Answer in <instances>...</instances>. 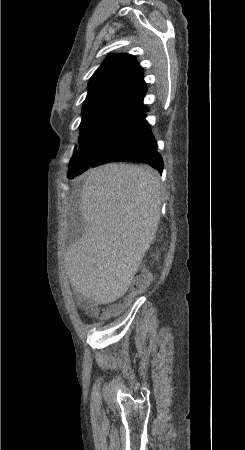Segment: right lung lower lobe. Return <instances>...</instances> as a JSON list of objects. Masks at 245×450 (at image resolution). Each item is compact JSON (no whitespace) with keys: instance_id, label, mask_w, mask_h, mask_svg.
I'll use <instances>...</instances> for the list:
<instances>
[{"instance_id":"1","label":"right lung lower lobe","mask_w":245,"mask_h":450,"mask_svg":"<svg viewBox=\"0 0 245 450\" xmlns=\"http://www.w3.org/2000/svg\"><path fill=\"white\" fill-rule=\"evenodd\" d=\"M146 112L141 115L139 123L130 139L114 151L100 155L91 166L95 167L108 162L138 160L151 165L162 173L164 164L162 157L157 152V145L150 126L145 120ZM82 172L75 173L69 179L78 176Z\"/></svg>"}]
</instances>
